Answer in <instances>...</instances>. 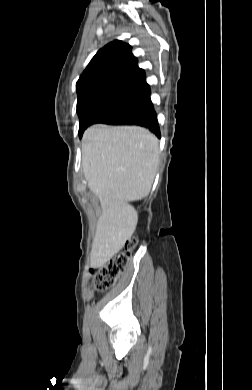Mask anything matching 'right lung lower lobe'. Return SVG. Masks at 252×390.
Listing matches in <instances>:
<instances>
[{
  "instance_id": "98d812e1",
  "label": "right lung lower lobe",
  "mask_w": 252,
  "mask_h": 390,
  "mask_svg": "<svg viewBox=\"0 0 252 390\" xmlns=\"http://www.w3.org/2000/svg\"><path fill=\"white\" fill-rule=\"evenodd\" d=\"M104 123L113 125H138L148 128L158 137L161 136L157 115L154 111L150 95L112 116Z\"/></svg>"
}]
</instances>
